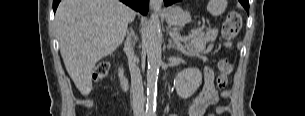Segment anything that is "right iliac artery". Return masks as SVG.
I'll return each instance as SVG.
<instances>
[{
  "label": "right iliac artery",
  "instance_id": "right-iliac-artery-1",
  "mask_svg": "<svg viewBox=\"0 0 305 116\" xmlns=\"http://www.w3.org/2000/svg\"><path fill=\"white\" fill-rule=\"evenodd\" d=\"M144 116H150V114H149V113H146Z\"/></svg>",
  "mask_w": 305,
  "mask_h": 116
}]
</instances>
